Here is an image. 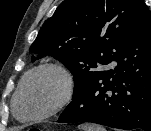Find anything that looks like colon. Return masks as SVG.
<instances>
[{"label":"colon","instance_id":"5ec220e1","mask_svg":"<svg viewBox=\"0 0 151 131\" xmlns=\"http://www.w3.org/2000/svg\"><path fill=\"white\" fill-rule=\"evenodd\" d=\"M20 131H41V130L36 127H29V128L20 129Z\"/></svg>","mask_w":151,"mask_h":131}]
</instances>
